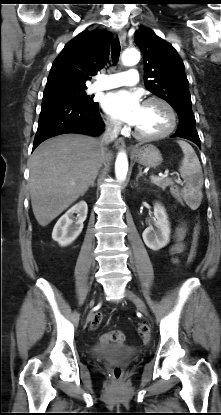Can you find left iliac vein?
Wrapping results in <instances>:
<instances>
[{"label": "left iliac vein", "mask_w": 221, "mask_h": 415, "mask_svg": "<svg viewBox=\"0 0 221 415\" xmlns=\"http://www.w3.org/2000/svg\"><path fill=\"white\" fill-rule=\"evenodd\" d=\"M125 294L144 315H147V308L144 302L135 293L127 289Z\"/></svg>", "instance_id": "1"}]
</instances>
